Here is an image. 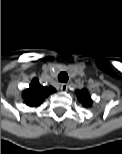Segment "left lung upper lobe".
I'll return each instance as SVG.
<instances>
[{
	"label": "left lung upper lobe",
	"instance_id": "5c2ea615",
	"mask_svg": "<svg viewBox=\"0 0 122 154\" xmlns=\"http://www.w3.org/2000/svg\"><path fill=\"white\" fill-rule=\"evenodd\" d=\"M77 97L83 106L85 107L91 106L92 100L87 90L83 89V90L77 91Z\"/></svg>",
	"mask_w": 122,
	"mask_h": 154
}]
</instances>
